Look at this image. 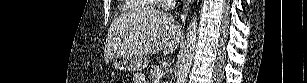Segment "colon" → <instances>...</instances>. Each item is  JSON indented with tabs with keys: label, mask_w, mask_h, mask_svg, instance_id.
<instances>
[{
	"label": "colon",
	"mask_w": 307,
	"mask_h": 83,
	"mask_svg": "<svg viewBox=\"0 0 307 83\" xmlns=\"http://www.w3.org/2000/svg\"><path fill=\"white\" fill-rule=\"evenodd\" d=\"M123 81H118V83H122Z\"/></svg>",
	"instance_id": "1"
}]
</instances>
